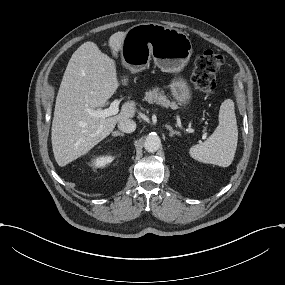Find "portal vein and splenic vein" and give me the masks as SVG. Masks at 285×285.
<instances>
[{"label":"portal vein and splenic vein","mask_w":285,"mask_h":285,"mask_svg":"<svg viewBox=\"0 0 285 285\" xmlns=\"http://www.w3.org/2000/svg\"><path fill=\"white\" fill-rule=\"evenodd\" d=\"M119 104L120 101L118 99L114 100L109 108H106L104 110H93L91 108H86L85 111L91 116L95 118H106L109 116H113L118 114L119 112ZM206 136V134H203Z\"/></svg>","instance_id":"portal-vein-and-splenic-vein-1"}]
</instances>
